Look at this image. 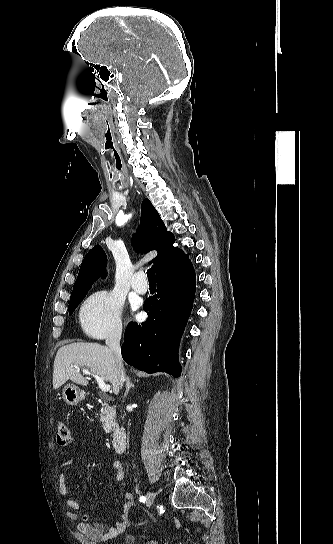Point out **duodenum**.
I'll use <instances>...</instances> for the list:
<instances>
[{"mask_svg": "<svg viewBox=\"0 0 333 544\" xmlns=\"http://www.w3.org/2000/svg\"><path fill=\"white\" fill-rule=\"evenodd\" d=\"M127 435L123 426L115 429L112 437V447L116 453H122L126 447Z\"/></svg>", "mask_w": 333, "mask_h": 544, "instance_id": "duodenum-1", "label": "duodenum"}]
</instances>
